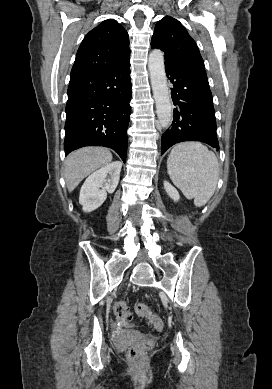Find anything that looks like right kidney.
<instances>
[{"label": "right kidney", "instance_id": "obj_1", "mask_svg": "<svg viewBox=\"0 0 272 389\" xmlns=\"http://www.w3.org/2000/svg\"><path fill=\"white\" fill-rule=\"evenodd\" d=\"M121 168L122 164L115 161L95 171L85 180L79 196V203L84 212H91L100 207L107 198V192L115 191Z\"/></svg>", "mask_w": 272, "mask_h": 389}]
</instances>
